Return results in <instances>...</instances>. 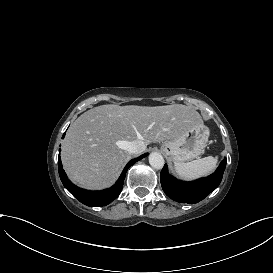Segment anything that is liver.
Returning a JSON list of instances; mask_svg holds the SVG:
<instances>
[{
  "mask_svg": "<svg viewBox=\"0 0 273 273\" xmlns=\"http://www.w3.org/2000/svg\"><path fill=\"white\" fill-rule=\"evenodd\" d=\"M190 106H119L92 108L70 126L62 146V163L69 178L88 189L112 185L129 160L128 142L145 145L177 139L202 123Z\"/></svg>",
  "mask_w": 273,
  "mask_h": 273,
  "instance_id": "liver-1",
  "label": "liver"
}]
</instances>
